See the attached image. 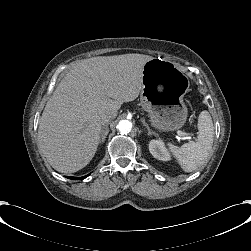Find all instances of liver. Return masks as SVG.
Segmentation results:
<instances>
[{
    "mask_svg": "<svg viewBox=\"0 0 251 251\" xmlns=\"http://www.w3.org/2000/svg\"><path fill=\"white\" fill-rule=\"evenodd\" d=\"M153 57L129 53L76 62L61 79L42 113L39 149L62 173L83 168L93 157L102 119L123 102L135 100L143 87L144 64Z\"/></svg>",
    "mask_w": 251,
    "mask_h": 251,
    "instance_id": "liver-1",
    "label": "liver"
}]
</instances>
